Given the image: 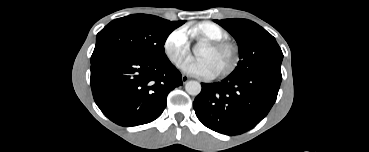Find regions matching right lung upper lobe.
Instances as JSON below:
<instances>
[{"label":"right lung upper lobe","mask_w":369,"mask_h":152,"mask_svg":"<svg viewBox=\"0 0 369 152\" xmlns=\"http://www.w3.org/2000/svg\"><path fill=\"white\" fill-rule=\"evenodd\" d=\"M180 21H175V23H179Z\"/></svg>","instance_id":"1"}]
</instances>
